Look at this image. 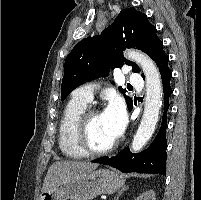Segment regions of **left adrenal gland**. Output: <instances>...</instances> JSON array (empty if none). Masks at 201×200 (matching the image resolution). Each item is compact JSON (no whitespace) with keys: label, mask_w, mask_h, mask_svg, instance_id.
I'll return each instance as SVG.
<instances>
[{"label":"left adrenal gland","mask_w":201,"mask_h":200,"mask_svg":"<svg viewBox=\"0 0 201 200\" xmlns=\"http://www.w3.org/2000/svg\"><path fill=\"white\" fill-rule=\"evenodd\" d=\"M127 190H128V187H127V186L122 187V189L118 191V194H117V196L115 197L114 200H118L119 197H120V195H121L124 191H127Z\"/></svg>","instance_id":"1"}]
</instances>
